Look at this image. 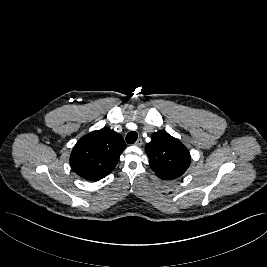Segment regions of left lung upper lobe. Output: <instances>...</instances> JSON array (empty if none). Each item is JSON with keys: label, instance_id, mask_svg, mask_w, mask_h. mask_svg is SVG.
Here are the masks:
<instances>
[{"label": "left lung upper lobe", "instance_id": "obj_1", "mask_svg": "<svg viewBox=\"0 0 267 267\" xmlns=\"http://www.w3.org/2000/svg\"><path fill=\"white\" fill-rule=\"evenodd\" d=\"M145 150L152 170L164 180L182 176L191 162L188 149L165 131L153 133Z\"/></svg>", "mask_w": 267, "mask_h": 267}]
</instances>
